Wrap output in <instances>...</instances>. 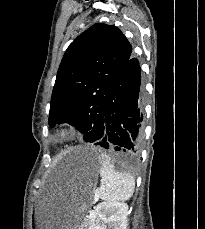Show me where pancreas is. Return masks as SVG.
<instances>
[{
    "label": "pancreas",
    "instance_id": "obj_1",
    "mask_svg": "<svg viewBox=\"0 0 205 229\" xmlns=\"http://www.w3.org/2000/svg\"><path fill=\"white\" fill-rule=\"evenodd\" d=\"M87 226H88V223L85 224V227H87Z\"/></svg>",
    "mask_w": 205,
    "mask_h": 229
}]
</instances>
